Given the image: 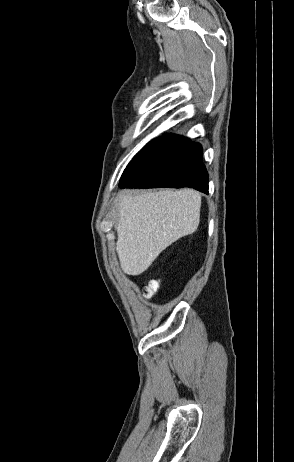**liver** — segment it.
<instances>
[{
  "mask_svg": "<svg viewBox=\"0 0 294 462\" xmlns=\"http://www.w3.org/2000/svg\"><path fill=\"white\" fill-rule=\"evenodd\" d=\"M201 196L192 189L119 196L116 251L124 273H143L158 255L199 225Z\"/></svg>",
  "mask_w": 294,
  "mask_h": 462,
  "instance_id": "obj_1",
  "label": "liver"
}]
</instances>
